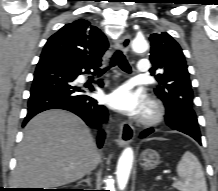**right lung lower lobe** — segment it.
Segmentation results:
<instances>
[{
	"label": "right lung lower lobe",
	"mask_w": 218,
	"mask_h": 191,
	"mask_svg": "<svg viewBox=\"0 0 218 191\" xmlns=\"http://www.w3.org/2000/svg\"><path fill=\"white\" fill-rule=\"evenodd\" d=\"M101 63L77 62L58 55L40 57L34 74L28 113L23 126L36 114L49 109H64L81 117L91 127H101L107 120L108 112L103 105L84 94V90L74 86L78 75L98 71ZM100 87L102 80L98 81ZM93 91V87H90ZM105 134L101 130L97 137L98 146L103 145Z\"/></svg>",
	"instance_id": "right-lung-lower-lobe-1"
}]
</instances>
